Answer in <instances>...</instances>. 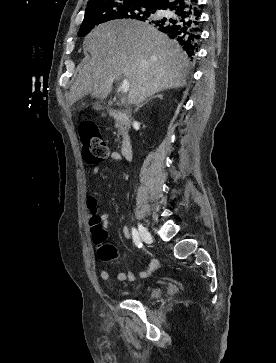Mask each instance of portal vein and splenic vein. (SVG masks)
I'll return each mask as SVG.
<instances>
[{"instance_id": "portal-vein-and-splenic-vein-1", "label": "portal vein and splenic vein", "mask_w": 276, "mask_h": 363, "mask_svg": "<svg viewBox=\"0 0 276 363\" xmlns=\"http://www.w3.org/2000/svg\"><path fill=\"white\" fill-rule=\"evenodd\" d=\"M129 88H130V83H129L128 79H124L122 84H121L120 90L123 93H126V92L129 91Z\"/></svg>"}]
</instances>
